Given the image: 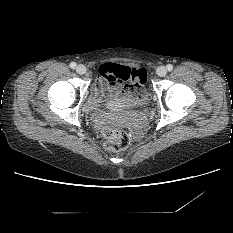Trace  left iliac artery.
I'll return each instance as SVG.
<instances>
[{
    "label": "left iliac artery",
    "mask_w": 233,
    "mask_h": 233,
    "mask_svg": "<svg viewBox=\"0 0 233 233\" xmlns=\"http://www.w3.org/2000/svg\"><path fill=\"white\" fill-rule=\"evenodd\" d=\"M166 68H167L168 71H172L173 70V65L172 64H168L166 66Z\"/></svg>",
    "instance_id": "left-iliac-artery-1"
}]
</instances>
